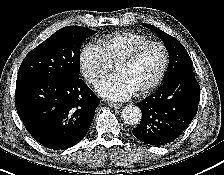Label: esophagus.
<instances>
[{
    "instance_id": "esophagus-1",
    "label": "esophagus",
    "mask_w": 224,
    "mask_h": 175,
    "mask_svg": "<svg viewBox=\"0 0 224 175\" xmlns=\"http://www.w3.org/2000/svg\"><path fill=\"white\" fill-rule=\"evenodd\" d=\"M108 106H110L111 108H114V109H119L122 107V104H119V103H113V102H108Z\"/></svg>"
}]
</instances>
